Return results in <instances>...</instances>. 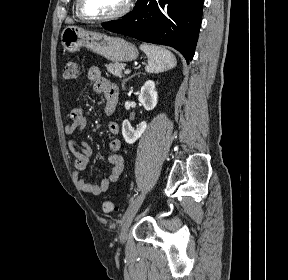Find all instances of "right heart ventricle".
<instances>
[{"label":"right heart ventricle","mask_w":288,"mask_h":280,"mask_svg":"<svg viewBox=\"0 0 288 280\" xmlns=\"http://www.w3.org/2000/svg\"><path fill=\"white\" fill-rule=\"evenodd\" d=\"M76 15L79 17L78 13H77V9H76Z\"/></svg>","instance_id":"right-heart-ventricle-1"}]
</instances>
